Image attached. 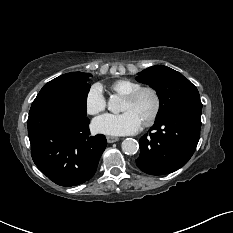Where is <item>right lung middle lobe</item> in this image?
<instances>
[{
  "instance_id": "1",
  "label": "right lung middle lobe",
  "mask_w": 233,
  "mask_h": 233,
  "mask_svg": "<svg viewBox=\"0 0 233 233\" xmlns=\"http://www.w3.org/2000/svg\"><path fill=\"white\" fill-rule=\"evenodd\" d=\"M91 74L72 72L46 83L33 101L29 115L43 108H66L86 117V100Z\"/></svg>"
}]
</instances>
